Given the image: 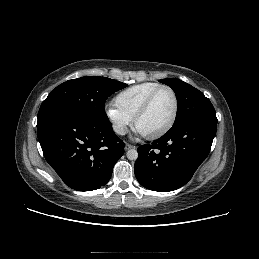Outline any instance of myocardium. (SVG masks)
<instances>
[{
	"mask_svg": "<svg viewBox=\"0 0 259 259\" xmlns=\"http://www.w3.org/2000/svg\"><path fill=\"white\" fill-rule=\"evenodd\" d=\"M161 90H169L171 92L173 99H174V110H173L171 119L161 130H159L158 132L151 134V135H145V137L150 140L158 139V138L164 136L166 133H168L171 130V128L174 126V124L177 120V117H178V113H179V98H178L176 91L171 86L160 85L147 96V98L145 99V101L143 102V104L141 105V107L139 108L137 113L135 114V116L133 118L134 127L136 128L138 121L148 112L155 96Z\"/></svg>",
	"mask_w": 259,
	"mask_h": 259,
	"instance_id": "f54148a6",
	"label": "myocardium"
}]
</instances>
